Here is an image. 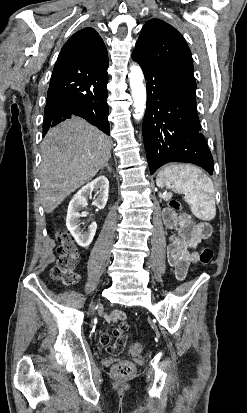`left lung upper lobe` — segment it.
<instances>
[{
    "label": "left lung upper lobe",
    "mask_w": 247,
    "mask_h": 413,
    "mask_svg": "<svg viewBox=\"0 0 247 413\" xmlns=\"http://www.w3.org/2000/svg\"><path fill=\"white\" fill-rule=\"evenodd\" d=\"M132 54L196 87L190 49L182 35L168 23L159 19L147 21Z\"/></svg>",
    "instance_id": "5c2ea615"
}]
</instances>
